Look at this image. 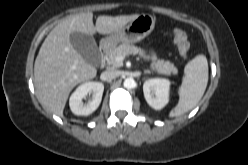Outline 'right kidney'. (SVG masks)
I'll list each match as a JSON object with an SVG mask.
<instances>
[{"instance_id": "obj_1", "label": "right kidney", "mask_w": 248, "mask_h": 165, "mask_svg": "<svg viewBox=\"0 0 248 165\" xmlns=\"http://www.w3.org/2000/svg\"><path fill=\"white\" fill-rule=\"evenodd\" d=\"M103 91L104 85L101 82H85L81 84L70 97L71 111L78 116L92 114L101 103ZM88 93H92V100L84 104L83 99Z\"/></svg>"}]
</instances>
